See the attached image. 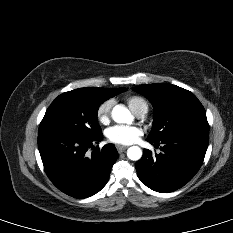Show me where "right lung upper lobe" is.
Returning <instances> with one entry per match:
<instances>
[{
  "label": "right lung upper lobe",
  "instance_id": "right-lung-upper-lobe-1",
  "mask_svg": "<svg viewBox=\"0 0 233 233\" xmlns=\"http://www.w3.org/2000/svg\"><path fill=\"white\" fill-rule=\"evenodd\" d=\"M84 93H87L91 96L102 98V99H109L117 94H120L121 92L126 91V88H117V89H110V88H80L78 89Z\"/></svg>",
  "mask_w": 233,
  "mask_h": 233
}]
</instances>
